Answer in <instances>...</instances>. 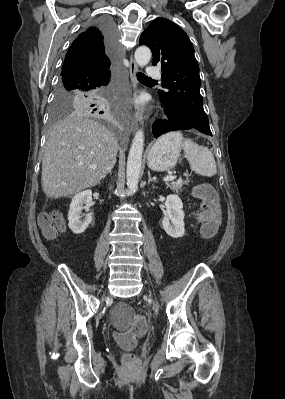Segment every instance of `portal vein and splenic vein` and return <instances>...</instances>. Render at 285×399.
Instances as JSON below:
<instances>
[{"instance_id":"obj_1","label":"portal vein and splenic vein","mask_w":285,"mask_h":399,"mask_svg":"<svg viewBox=\"0 0 285 399\" xmlns=\"http://www.w3.org/2000/svg\"><path fill=\"white\" fill-rule=\"evenodd\" d=\"M93 169H95V168H93ZM175 178H176V176L169 175V176H166L165 178H163V181L168 182V181L174 180Z\"/></svg>"}]
</instances>
